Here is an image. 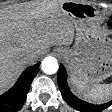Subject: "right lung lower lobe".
I'll return each instance as SVG.
<instances>
[{
	"label": "right lung lower lobe",
	"mask_w": 112,
	"mask_h": 112,
	"mask_svg": "<svg viewBox=\"0 0 112 112\" xmlns=\"http://www.w3.org/2000/svg\"><path fill=\"white\" fill-rule=\"evenodd\" d=\"M40 63L27 68L19 77L15 85L0 95V112H16L20 110L26 100L33 78L39 71Z\"/></svg>",
	"instance_id": "1"
}]
</instances>
